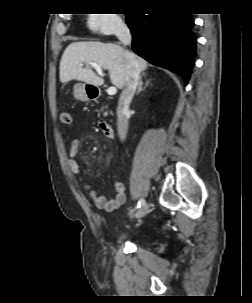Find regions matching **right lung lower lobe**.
Here are the masks:
<instances>
[{
  "mask_svg": "<svg viewBox=\"0 0 252 303\" xmlns=\"http://www.w3.org/2000/svg\"><path fill=\"white\" fill-rule=\"evenodd\" d=\"M135 53L188 83L195 56L194 20L187 13L127 14Z\"/></svg>",
  "mask_w": 252,
  "mask_h": 303,
  "instance_id": "obj_1",
  "label": "right lung lower lobe"
}]
</instances>
